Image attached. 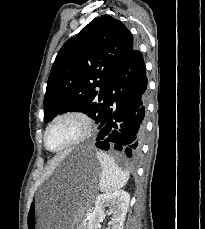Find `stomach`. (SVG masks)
I'll list each match as a JSON object with an SVG mask.
<instances>
[{
    "label": "stomach",
    "mask_w": 205,
    "mask_h": 229,
    "mask_svg": "<svg viewBox=\"0 0 205 229\" xmlns=\"http://www.w3.org/2000/svg\"><path fill=\"white\" fill-rule=\"evenodd\" d=\"M66 157V174L76 179L80 193L73 198L55 193L38 195L28 207L26 229H83L81 221L97 186L101 166L90 148H74Z\"/></svg>",
    "instance_id": "1"
}]
</instances>
